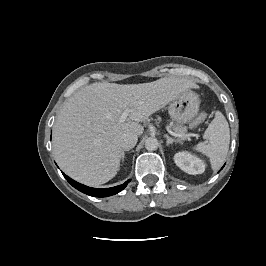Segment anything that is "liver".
I'll return each mask as SVG.
<instances>
[{"label":"liver","mask_w":266,"mask_h":266,"mask_svg":"<svg viewBox=\"0 0 266 266\" xmlns=\"http://www.w3.org/2000/svg\"><path fill=\"white\" fill-rule=\"evenodd\" d=\"M196 84L166 77L150 83L120 85L99 82L74 93L63 105L53 128V154L72 179L88 186L111 180L119 170L121 138L140 136L147 120ZM129 109L127 122L120 116Z\"/></svg>","instance_id":"6515ba94"}]
</instances>
